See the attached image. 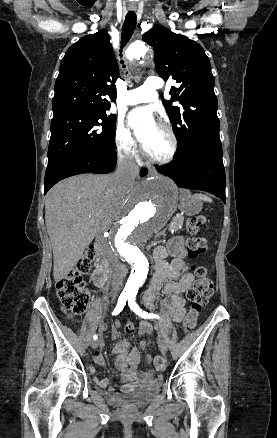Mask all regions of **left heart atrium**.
Here are the masks:
<instances>
[{"instance_id": "39dd6f15", "label": "left heart atrium", "mask_w": 277, "mask_h": 438, "mask_svg": "<svg viewBox=\"0 0 277 438\" xmlns=\"http://www.w3.org/2000/svg\"><path fill=\"white\" fill-rule=\"evenodd\" d=\"M145 120L143 127L136 129L139 140L144 143L149 132L155 127L151 110L148 108H139L133 110L129 115V123L134 126L137 121Z\"/></svg>"}]
</instances>
